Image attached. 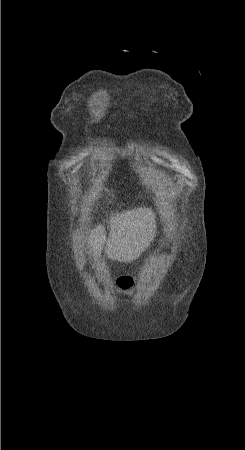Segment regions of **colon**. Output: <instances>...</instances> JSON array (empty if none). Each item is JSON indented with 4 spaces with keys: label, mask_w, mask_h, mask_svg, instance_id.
Here are the masks:
<instances>
[{
    "label": "colon",
    "mask_w": 245,
    "mask_h": 450,
    "mask_svg": "<svg viewBox=\"0 0 245 450\" xmlns=\"http://www.w3.org/2000/svg\"><path fill=\"white\" fill-rule=\"evenodd\" d=\"M134 286V282L130 278H126L123 280V287L126 289H132Z\"/></svg>",
    "instance_id": "5ec220e1"
}]
</instances>
